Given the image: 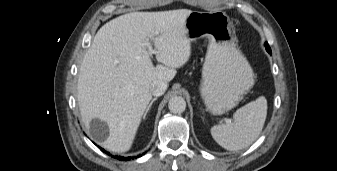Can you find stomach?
I'll return each mask as SVG.
<instances>
[{
  "label": "stomach",
  "mask_w": 337,
  "mask_h": 171,
  "mask_svg": "<svg viewBox=\"0 0 337 171\" xmlns=\"http://www.w3.org/2000/svg\"><path fill=\"white\" fill-rule=\"evenodd\" d=\"M185 28L191 41L204 37L209 41L200 94L210 113L224 114L254 85L253 70L237 46L233 24L222 11H193Z\"/></svg>",
  "instance_id": "1"
}]
</instances>
